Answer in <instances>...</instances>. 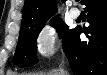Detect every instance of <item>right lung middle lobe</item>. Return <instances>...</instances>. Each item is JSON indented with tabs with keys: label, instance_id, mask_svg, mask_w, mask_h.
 I'll return each instance as SVG.
<instances>
[{
	"label": "right lung middle lobe",
	"instance_id": "obj_1",
	"mask_svg": "<svg viewBox=\"0 0 107 75\" xmlns=\"http://www.w3.org/2000/svg\"><path fill=\"white\" fill-rule=\"evenodd\" d=\"M44 25L45 23L21 24L19 40L14 55L15 64L20 67H27L38 62L35 56L37 50L36 40ZM51 25L57 28L64 46L72 35L74 29L69 30L68 26L65 23H62L59 18L51 20Z\"/></svg>",
	"mask_w": 107,
	"mask_h": 75
}]
</instances>
